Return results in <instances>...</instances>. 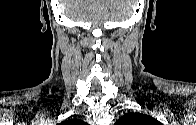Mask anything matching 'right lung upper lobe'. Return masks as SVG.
I'll list each match as a JSON object with an SVG mask.
<instances>
[{
	"instance_id": "1",
	"label": "right lung upper lobe",
	"mask_w": 196,
	"mask_h": 125,
	"mask_svg": "<svg viewBox=\"0 0 196 125\" xmlns=\"http://www.w3.org/2000/svg\"><path fill=\"white\" fill-rule=\"evenodd\" d=\"M70 122H72V120L71 119H68V120H65L64 121V124H67V123H70Z\"/></svg>"
}]
</instances>
